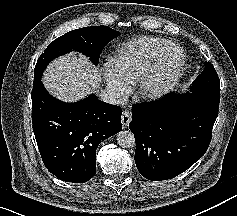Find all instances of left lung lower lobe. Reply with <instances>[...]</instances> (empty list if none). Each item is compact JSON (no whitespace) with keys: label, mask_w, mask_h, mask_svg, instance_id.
Listing matches in <instances>:
<instances>
[{"label":"left lung lower lobe","mask_w":237,"mask_h":216,"mask_svg":"<svg viewBox=\"0 0 237 216\" xmlns=\"http://www.w3.org/2000/svg\"><path fill=\"white\" fill-rule=\"evenodd\" d=\"M219 100L169 93L132 107L129 124L136 140L138 171L152 181L186 171L206 152L218 116Z\"/></svg>","instance_id":"1"}]
</instances>
